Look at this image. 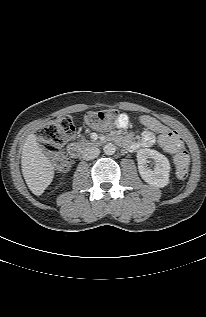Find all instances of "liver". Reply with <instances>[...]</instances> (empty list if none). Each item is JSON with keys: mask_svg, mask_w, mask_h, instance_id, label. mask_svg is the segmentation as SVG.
Masks as SVG:
<instances>
[{"mask_svg": "<svg viewBox=\"0 0 206 317\" xmlns=\"http://www.w3.org/2000/svg\"><path fill=\"white\" fill-rule=\"evenodd\" d=\"M22 174L33 194L39 196L50 185L54 177V167L44 155L34 134L28 135L21 156Z\"/></svg>", "mask_w": 206, "mask_h": 317, "instance_id": "1", "label": "liver"}]
</instances>
